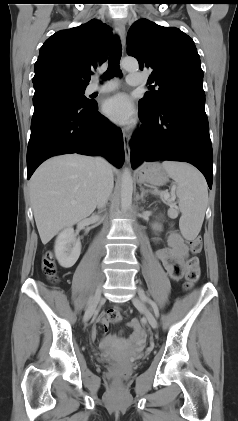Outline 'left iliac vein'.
<instances>
[{
  "label": "left iliac vein",
  "mask_w": 238,
  "mask_h": 421,
  "mask_svg": "<svg viewBox=\"0 0 238 421\" xmlns=\"http://www.w3.org/2000/svg\"><path fill=\"white\" fill-rule=\"evenodd\" d=\"M132 302L138 309H140L144 313L151 327L154 329L157 328V325H158L157 320L155 316L152 314V312L146 307L144 302L138 297H134L132 299Z\"/></svg>",
  "instance_id": "obj_1"
}]
</instances>
